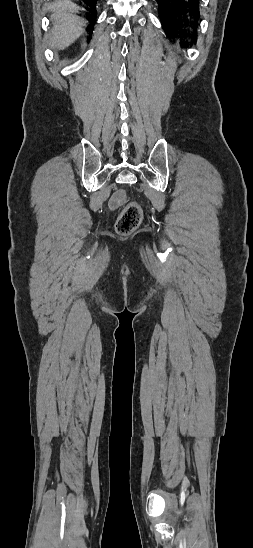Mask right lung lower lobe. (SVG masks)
<instances>
[{
  "label": "right lung lower lobe",
  "mask_w": 253,
  "mask_h": 548,
  "mask_svg": "<svg viewBox=\"0 0 253 548\" xmlns=\"http://www.w3.org/2000/svg\"><path fill=\"white\" fill-rule=\"evenodd\" d=\"M98 0H83L85 4H87L91 9H95L96 2ZM96 20L95 16L91 18V21L94 23Z\"/></svg>",
  "instance_id": "1"
}]
</instances>
